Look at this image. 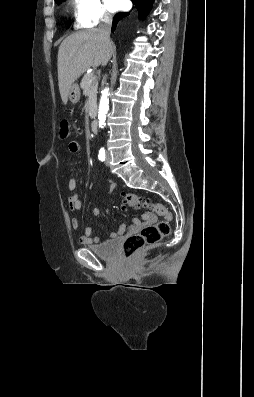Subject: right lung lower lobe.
Masks as SVG:
<instances>
[{
	"instance_id": "obj_1",
	"label": "right lung lower lobe",
	"mask_w": 254,
	"mask_h": 397,
	"mask_svg": "<svg viewBox=\"0 0 254 397\" xmlns=\"http://www.w3.org/2000/svg\"><path fill=\"white\" fill-rule=\"evenodd\" d=\"M133 2V4H135V6L137 7V11H138V16L139 18H144L149 10L152 7V4L154 2V0H131ZM129 16V12L127 13H118L115 15L114 19H113V24H112V32H114L117 23L125 18Z\"/></svg>"
}]
</instances>
